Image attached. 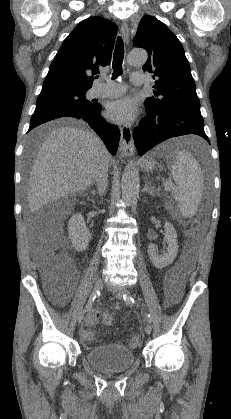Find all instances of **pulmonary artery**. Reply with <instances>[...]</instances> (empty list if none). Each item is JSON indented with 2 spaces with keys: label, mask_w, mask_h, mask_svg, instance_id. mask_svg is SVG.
<instances>
[{
  "label": "pulmonary artery",
  "mask_w": 231,
  "mask_h": 419,
  "mask_svg": "<svg viewBox=\"0 0 231 419\" xmlns=\"http://www.w3.org/2000/svg\"><path fill=\"white\" fill-rule=\"evenodd\" d=\"M130 80L133 85L139 86L146 82V76L143 73L134 72ZM125 89L126 86L120 83H98L90 89L89 96L91 98L118 96L124 93Z\"/></svg>",
  "instance_id": "obj_1"
}]
</instances>
